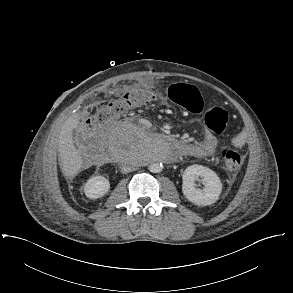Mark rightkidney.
<instances>
[{"instance_id": "1", "label": "right kidney", "mask_w": 293, "mask_h": 293, "mask_svg": "<svg viewBox=\"0 0 293 293\" xmlns=\"http://www.w3.org/2000/svg\"><path fill=\"white\" fill-rule=\"evenodd\" d=\"M109 189V180L104 176H93L84 185L85 195L92 200L103 197Z\"/></svg>"}]
</instances>
